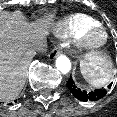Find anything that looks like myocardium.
Instances as JSON below:
<instances>
[{"instance_id": "f54148a6", "label": "myocardium", "mask_w": 117, "mask_h": 117, "mask_svg": "<svg viewBox=\"0 0 117 117\" xmlns=\"http://www.w3.org/2000/svg\"><path fill=\"white\" fill-rule=\"evenodd\" d=\"M97 32L102 34V38L98 41H94L92 36ZM108 39L109 34L106 28L101 24H96L89 26L76 37V46L82 51L96 50L106 45Z\"/></svg>"}]
</instances>
